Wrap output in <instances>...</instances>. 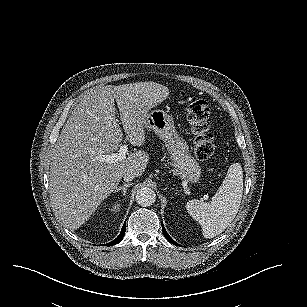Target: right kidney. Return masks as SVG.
Returning a JSON list of instances; mask_svg holds the SVG:
<instances>
[{
    "mask_svg": "<svg viewBox=\"0 0 307 307\" xmlns=\"http://www.w3.org/2000/svg\"><path fill=\"white\" fill-rule=\"evenodd\" d=\"M120 209V204L115 203L112 207H111V211L112 212H117Z\"/></svg>",
    "mask_w": 307,
    "mask_h": 307,
    "instance_id": "1",
    "label": "right kidney"
}]
</instances>
